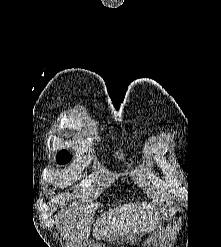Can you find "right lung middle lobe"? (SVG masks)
I'll return each instance as SVG.
<instances>
[{
    "label": "right lung middle lobe",
    "mask_w": 221,
    "mask_h": 247,
    "mask_svg": "<svg viewBox=\"0 0 221 247\" xmlns=\"http://www.w3.org/2000/svg\"><path fill=\"white\" fill-rule=\"evenodd\" d=\"M70 160H71V155L65 150L60 151L57 155V161L59 162V164H65Z\"/></svg>",
    "instance_id": "1"
}]
</instances>
